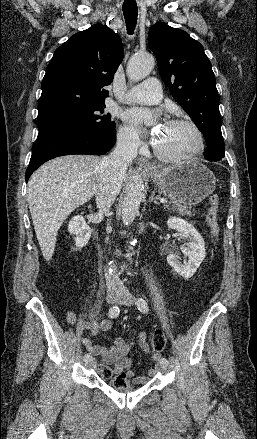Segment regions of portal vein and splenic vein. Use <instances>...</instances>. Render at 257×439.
I'll return each mask as SVG.
<instances>
[{
    "label": "portal vein and splenic vein",
    "instance_id": "obj_1",
    "mask_svg": "<svg viewBox=\"0 0 257 439\" xmlns=\"http://www.w3.org/2000/svg\"><path fill=\"white\" fill-rule=\"evenodd\" d=\"M160 202H161V203H166V202H167V199H165V198H161V199H160Z\"/></svg>",
    "mask_w": 257,
    "mask_h": 439
}]
</instances>
